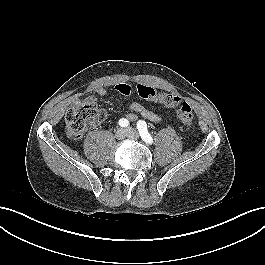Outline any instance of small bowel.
Wrapping results in <instances>:
<instances>
[{
    "mask_svg": "<svg viewBox=\"0 0 265 265\" xmlns=\"http://www.w3.org/2000/svg\"><path fill=\"white\" fill-rule=\"evenodd\" d=\"M116 90L122 95H129L130 94V87H129V85H127L125 83L118 84L116 86ZM96 92L101 97L106 96V94H107V91L104 88H98L96 90ZM164 94L166 95L169 93H164ZM87 101L95 103L97 101V99H96V97L91 96L87 99ZM158 102L167 106V107H173L171 105L165 104L161 100H159ZM130 108H131V113L128 114V119L131 121H136L138 116H142L146 120L151 121L153 123H159L161 121V116L159 114L149 110L148 108H146L143 104H141L139 102H133L131 104Z\"/></svg>",
    "mask_w": 265,
    "mask_h": 265,
    "instance_id": "c3829d8e",
    "label": "small bowel"
}]
</instances>
